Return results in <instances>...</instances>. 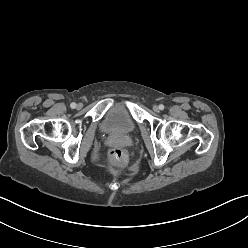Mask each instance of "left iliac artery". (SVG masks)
Instances as JSON below:
<instances>
[{
    "instance_id": "left-iliac-artery-1",
    "label": "left iliac artery",
    "mask_w": 248,
    "mask_h": 248,
    "mask_svg": "<svg viewBox=\"0 0 248 248\" xmlns=\"http://www.w3.org/2000/svg\"><path fill=\"white\" fill-rule=\"evenodd\" d=\"M159 109H160V110H163V109H164V105H163V104H160V105H159Z\"/></svg>"
}]
</instances>
